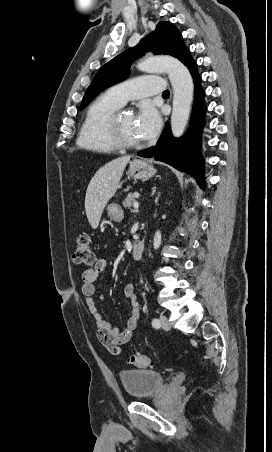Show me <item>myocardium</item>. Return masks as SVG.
<instances>
[{
	"instance_id": "obj_1",
	"label": "myocardium",
	"mask_w": 272,
	"mask_h": 452,
	"mask_svg": "<svg viewBox=\"0 0 272 452\" xmlns=\"http://www.w3.org/2000/svg\"><path fill=\"white\" fill-rule=\"evenodd\" d=\"M123 114L122 109L114 111L107 120L106 132L109 140L117 148H137L141 145L140 141H130L126 139L121 131L119 119Z\"/></svg>"
}]
</instances>
